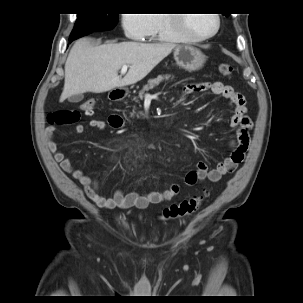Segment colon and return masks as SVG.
Listing matches in <instances>:
<instances>
[{"mask_svg":"<svg viewBox=\"0 0 303 303\" xmlns=\"http://www.w3.org/2000/svg\"><path fill=\"white\" fill-rule=\"evenodd\" d=\"M233 71L230 64L222 63L219 65V72L223 76H229ZM97 104L96 99H90L85 101L81 108L82 110L90 114ZM80 120V112L71 109H59L51 112L47 116V122L50 125H71ZM204 196L191 197L181 202L170 205L163 211L162 217L164 219H177L192 215L200 208Z\"/></svg>","mask_w":303,"mask_h":303,"instance_id":"obj_1","label":"colon"}]
</instances>
